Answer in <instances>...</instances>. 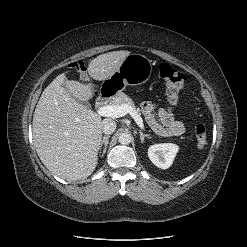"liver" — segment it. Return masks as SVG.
<instances>
[{
  "instance_id": "obj_1",
  "label": "liver",
  "mask_w": 247,
  "mask_h": 247,
  "mask_svg": "<svg viewBox=\"0 0 247 247\" xmlns=\"http://www.w3.org/2000/svg\"><path fill=\"white\" fill-rule=\"evenodd\" d=\"M129 51H113L94 58L87 71L103 81L117 71ZM57 76L43 91L33 116V142L36 152L54 175L69 181L90 176L98 162L102 141V119L76 100L93 97L94 85L66 81Z\"/></svg>"
}]
</instances>
